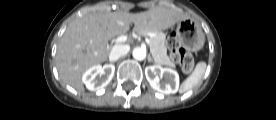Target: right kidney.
Returning a JSON list of instances; mask_svg holds the SVG:
<instances>
[{
    "mask_svg": "<svg viewBox=\"0 0 276 120\" xmlns=\"http://www.w3.org/2000/svg\"><path fill=\"white\" fill-rule=\"evenodd\" d=\"M114 71L115 66L112 64H106L103 67L95 65L83 74L82 81L88 90L99 91L111 81Z\"/></svg>",
    "mask_w": 276,
    "mask_h": 120,
    "instance_id": "ca27d5eb",
    "label": "right kidney"
}]
</instances>
